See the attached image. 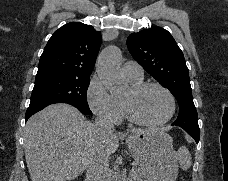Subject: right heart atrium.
I'll list each match as a JSON object with an SVG mask.
<instances>
[{"label": "right heart atrium", "mask_w": 228, "mask_h": 181, "mask_svg": "<svg viewBox=\"0 0 228 181\" xmlns=\"http://www.w3.org/2000/svg\"><path fill=\"white\" fill-rule=\"evenodd\" d=\"M88 101L91 110L100 118L118 124L123 117L120 101L110 93L102 76H95L89 85Z\"/></svg>", "instance_id": "right-heart-atrium-1"}]
</instances>
